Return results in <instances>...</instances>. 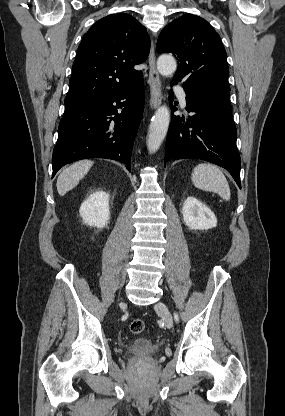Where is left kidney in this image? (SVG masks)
Masks as SVG:
<instances>
[{
  "mask_svg": "<svg viewBox=\"0 0 285 416\" xmlns=\"http://www.w3.org/2000/svg\"><path fill=\"white\" fill-rule=\"evenodd\" d=\"M183 220L190 230H211L216 228L217 218L208 206L196 200L187 198L182 208Z\"/></svg>",
  "mask_w": 285,
  "mask_h": 416,
  "instance_id": "5707ae66",
  "label": "left kidney"
}]
</instances>
